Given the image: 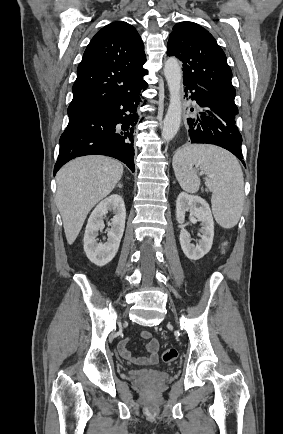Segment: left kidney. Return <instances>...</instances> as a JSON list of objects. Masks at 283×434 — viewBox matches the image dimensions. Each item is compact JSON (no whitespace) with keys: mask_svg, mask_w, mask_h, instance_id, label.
<instances>
[{"mask_svg":"<svg viewBox=\"0 0 283 434\" xmlns=\"http://www.w3.org/2000/svg\"><path fill=\"white\" fill-rule=\"evenodd\" d=\"M190 211L198 221L201 222L199 236L201 239L196 246L191 244L188 232L184 230L185 213ZM176 220L181 224L180 244L184 254L190 260H198L207 254L213 244L214 221L208 203L196 195H189L185 192L179 194L176 201Z\"/></svg>","mask_w":283,"mask_h":434,"instance_id":"5707ae66","label":"left kidney"}]
</instances>
